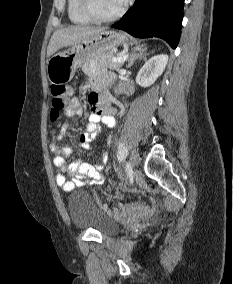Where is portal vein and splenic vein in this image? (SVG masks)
<instances>
[{
  "label": "portal vein and splenic vein",
  "instance_id": "18ae733b",
  "mask_svg": "<svg viewBox=\"0 0 233 284\" xmlns=\"http://www.w3.org/2000/svg\"><path fill=\"white\" fill-rule=\"evenodd\" d=\"M128 57H129V54H120V55H118L117 57H114L113 59H112V61L113 62H117V63H123V62H125L127 59H128Z\"/></svg>",
  "mask_w": 233,
  "mask_h": 284
}]
</instances>
